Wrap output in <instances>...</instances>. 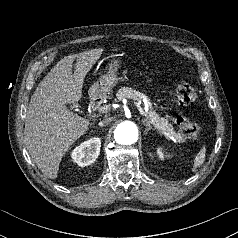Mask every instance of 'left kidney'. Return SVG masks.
<instances>
[{
    "instance_id": "left-kidney-1",
    "label": "left kidney",
    "mask_w": 238,
    "mask_h": 238,
    "mask_svg": "<svg viewBox=\"0 0 238 238\" xmlns=\"http://www.w3.org/2000/svg\"><path fill=\"white\" fill-rule=\"evenodd\" d=\"M157 154L161 160H164L165 155L164 152L162 151V148H157Z\"/></svg>"
}]
</instances>
